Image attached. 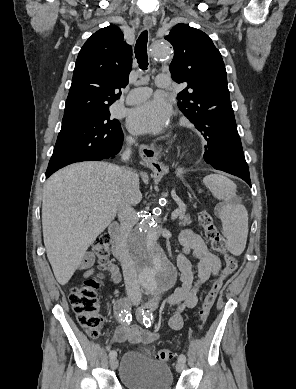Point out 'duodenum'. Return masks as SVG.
<instances>
[{
	"mask_svg": "<svg viewBox=\"0 0 296 389\" xmlns=\"http://www.w3.org/2000/svg\"><path fill=\"white\" fill-rule=\"evenodd\" d=\"M108 231L112 239V251L115 258L121 264H126L128 261V254L124 241L120 234L119 225L117 223L110 224Z\"/></svg>",
	"mask_w": 296,
	"mask_h": 389,
	"instance_id": "1",
	"label": "duodenum"
}]
</instances>
